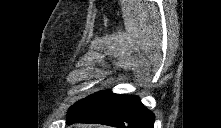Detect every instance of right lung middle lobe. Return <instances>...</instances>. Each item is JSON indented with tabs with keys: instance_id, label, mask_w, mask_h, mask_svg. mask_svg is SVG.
Segmentation results:
<instances>
[{
	"instance_id": "1",
	"label": "right lung middle lobe",
	"mask_w": 221,
	"mask_h": 128,
	"mask_svg": "<svg viewBox=\"0 0 221 128\" xmlns=\"http://www.w3.org/2000/svg\"><path fill=\"white\" fill-rule=\"evenodd\" d=\"M110 93H111L110 91H101V92H97L87 98H84V99L80 100L79 102H77L76 104H74L73 106H71L68 110V114L73 113L76 110L86 107L92 103H95Z\"/></svg>"
}]
</instances>
